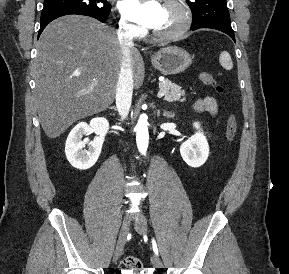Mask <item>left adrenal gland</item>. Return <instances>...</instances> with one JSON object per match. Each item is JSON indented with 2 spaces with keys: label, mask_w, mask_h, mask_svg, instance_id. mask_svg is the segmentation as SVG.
I'll use <instances>...</instances> for the list:
<instances>
[{
  "label": "left adrenal gland",
  "mask_w": 289,
  "mask_h": 274,
  "mask_svg": "<svg viewBox=\"0 0 289 274\" xmlns=\"http://www.w3.org/2000/svg\"><path fill=\"white\" fill-rule=\"evenodd\" d=\"M170 114H171L170 112H164V114H163V115H164V116H166V117H169V116H170Z\"/></svg>",
  "instance_id": "a2214340"
}]
</instances>
